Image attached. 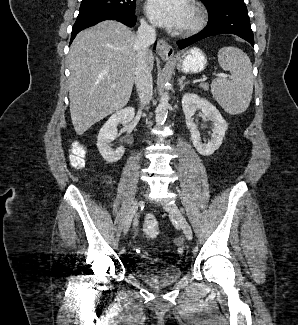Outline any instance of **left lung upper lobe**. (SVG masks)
<instances>
[{
  "label": "left lung upper lobe",
  "mask_w": 298,
  "mask_h": 325,
  "mask_svg": "<svg viewBox=\"0 0 298 325\" xmlns=\"http://www.w3.org/2000/svg\"><path fill=\"white\" fill-rule=\"evenodd\" d=\"M202 1L207 5L210 11H213L216 8L224 4H227L229 2H232L234 0H202Z\"/></svg>",
  "instance_id": "1"
}]
</instances>
